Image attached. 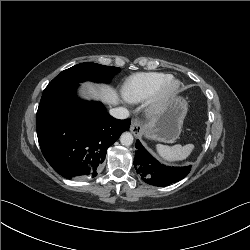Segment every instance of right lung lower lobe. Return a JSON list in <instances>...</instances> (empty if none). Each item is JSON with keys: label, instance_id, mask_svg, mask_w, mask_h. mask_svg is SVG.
Instances as JSON below:
<instances>
[{"label": "right lung lower lobe", "instance_id": "1", "mask_svg": "<svg viewBox=\"0 0 250 250\" xmlns=\"http://www.w3.org/2000/svg\"><path fill=\"white\" fill-rule=\"evenodd\" d=\"M77 85L40 101L37 136L45 159L66 179L94 178L106 150L129 130L130 120L110 116L100 102L80 100Z\"/></svg>", "mask_w": 250, "mask_h": 250}]
</instances>
